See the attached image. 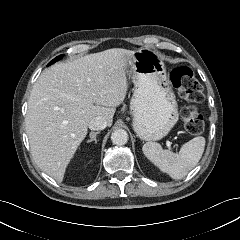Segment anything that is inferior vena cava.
Wrapping results in <instances>:
<instances>
[{
	"label": "inferior vena cava",
	"mask_w": 240,
	"mask_h": 240,
	"mask_svg": "<svg viewBox=\"0 0 240 240\" xmlns=\"http://www.w3.org/2000/svg\"><path fill=\"white\" fill-rule=\"evenodd\" d=\"M106 126H107V122L101 116L95 117L88 124V127L90 130H103L106 128Z\"/></svg>",
	"instance_id": "1"
}]
</instances>
